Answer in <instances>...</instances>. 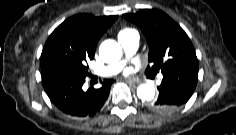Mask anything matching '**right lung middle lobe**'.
<instances>
[{
	"mask_svg": "<svg viewBox=\"0 0 236 135\" xmlns=\"http://www.w3.org/2000/svg\"><path fill=\"white\" fill-rule=\"evenodd\" d=\"M94 52L58 41L46 44L41 54V72H64L88 75L86 63Z\"/></svg>",
	"mask_w": 236,
	"mask_h": 135,
	"instance_id": "right-lung-middle-lobe-1",
	"label": "right lung middle lobe"
}]
</instances>
